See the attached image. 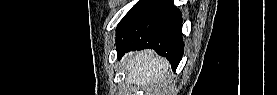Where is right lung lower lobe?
Wrapping results in <instances>:
<instances>
[{
  "instance_id": "right-lung-lower-lobe-1",
  "label": "right lung lower lobe",
  "mask_w": 277,
  "mask_h": 95,
  "mask_svg": "<svg viewBox=\"0 0 277 95\" xmlns=\"http://www.w3.org/2000/svg\"><path fill=\"white\" fill-rule=\"evenodd\" d=\"M181 24L182 15L171 0H147L117 29L118 57L151 48L176 70L184 52Z\"/></svg>"
}]
</instances>
